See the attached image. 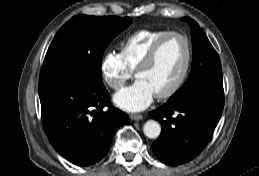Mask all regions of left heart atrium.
<instances>
[{
	"instance_id": "left-heart-atrium-1",
	"label": "left heart atrium",
	"mask_w": 259,
	"mask_h": 176,
	"mask_svg": "<svg viewBox=\"0 0 259 176\" xmlns=\"http://www.w3.org/2000/svg\"><path fill=\"white\" fill-rule=\"evenodd\" d=\"M155 97L151 87L142 80H137L131 86L116 93L114 103L121 109L129 112H138L147 108Z\"/></svg>"
}]
</instances>
